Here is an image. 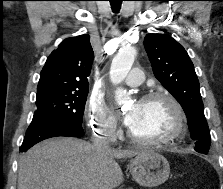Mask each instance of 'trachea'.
Listing matches in <instances>:
<instances>
[{
  "instance_id": "1",
  "label": "trachea",
  "mask_w": 223,
  "mask_h": 189,
  "mask_svg": "<svg viewBox=\"0 0 223 189\" xmlns=\"http://www.w3.org/2000/svg\"><path fill=\"white\" fill-rule=\"evenodd\" d=\"M111 4V8L115 13H118L123 0H109Z\"/></svg>"
}]
</instances>
